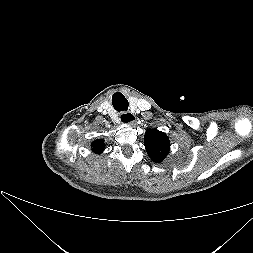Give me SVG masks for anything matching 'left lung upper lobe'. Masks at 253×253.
Here are the masks:
<instances>
[{
    "mask_svg": "<svg viewBox=\"0 0 253 253\" xmlns=\"http://www.w3.org/2000/svg\"><path fill=\"white\" fill-rule=\"evenodd\" d=\"M144 145L149 157L160 163L167 156L170 143L167 135L157 129L147 130L144 137Z\"/></svg>",
    "mask_w": 253,
    "mask_h": 253,
    "instance_id": "5c2ea615",
    "label": "left lung upper lobe"
}]
</instances>
